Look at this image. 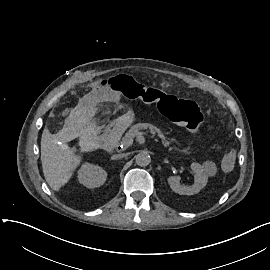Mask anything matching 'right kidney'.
Here are the masks:
<instances>
[{"label":"right kidney","instance_id":"right-kidney-1","mask_svg":"<svg viewBox=\"0 0 270 270\" xmlns=\"http://www.w3.org/2000/svg\"><path fill=\"white\" fill-rule=\"evenodd\" d=\"M80 183L88 188L100 187L104 184L107 178V173L98 166L85 164L78 172Z\"/></svg>","mask_w":270,"mask_h":270}]
</instances>
